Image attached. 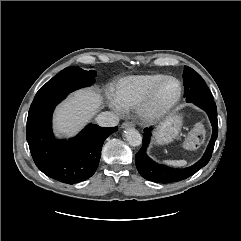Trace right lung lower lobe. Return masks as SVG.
Listing matches in <instances>:
<instances>
[{
  "label": "right lung lower lobe",
  "mask_w": 241,
  "mask_h": 241,
  "mask_svg": "<svg viewBox=\"0 0 241 241\" xmlns=\"http://www.w3.org/2000/svg\"><path fill=\"white\" fill-rule=\"evenodd\" d=\"M67 95L32 102L26 138L36 166L47 176L74 184L90 178L96 171L105 139L117 127L89 124L68 141L57 140L52 133V113Z\"/></svg>",
  "instance_id": "right-lung-lower-lobe-1"
}]
</instances>
